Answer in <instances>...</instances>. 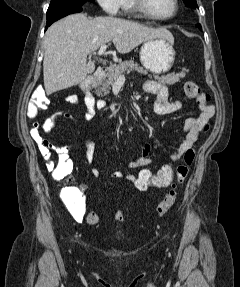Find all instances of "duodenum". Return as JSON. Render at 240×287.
Masks as SVG:
<instances>
[{"label": "duodenum", "instance_id": "duodenum-1", "mask_svg": "<svg viewBox=\"0 0 240 287\" xmlns=\"http://www.w3.org/2000/svg\"><path fill=\"white\" fill-rule=\"evenodd\" d=\"M103 75H104V69L102 67H98L91 76L86 78L81 83L80 88L86 94V96H90L93 85L95 84V82L101 79Z\"/></svg>", "mask_w": 240, "mask_h": 287}]
</instances>
